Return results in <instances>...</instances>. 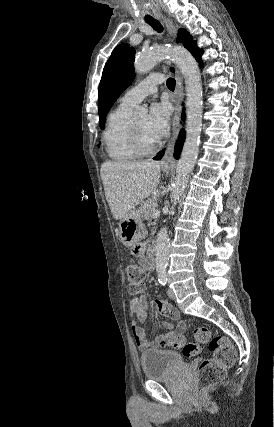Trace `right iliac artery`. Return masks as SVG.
Masks as SVG:
<instances>
[{
    "mask_svg": "<svg viewBox=\"0 0 274 427\" xmlns=\"http://www.w3.org/2000/svg\"><path fill=\"white\" fill-rule=\"evenodd\" d=\"M163 286H165V284H166V281H162V282H160Z\"/></svg>",
    "mask_w": 274,
    "mask_h": 427,
    "instance_id": "1",
    "label": "right iliac artery"
}]
</instances>
